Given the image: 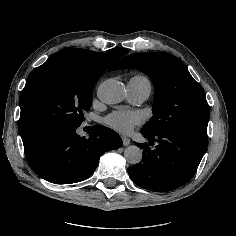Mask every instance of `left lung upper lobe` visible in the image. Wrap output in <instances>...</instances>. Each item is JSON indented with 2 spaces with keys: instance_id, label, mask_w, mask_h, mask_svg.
Wrapping results in <instances>:
<instances>
[{
  "instance_id": "obj_1",
  "label": "left lung upper lobe",
  "mask_w": 236,
  "mask_h": 236,
  "mask_svg": "<svg viewBox=\"0 0 236 236\" xmlns=\"http://www.w3.org/2000/svg\"><path fill=\"white\" fill-rule=\"evenodd\" d=\"M121 68L142 71L155 88L153 117L141 132L156 135L174 130L207 137L209 106L204 89L179 58L162 52L135 53L120 59L109 70Z\"/></svg>"
}]
</instances>
